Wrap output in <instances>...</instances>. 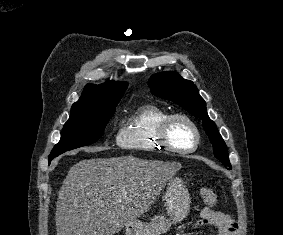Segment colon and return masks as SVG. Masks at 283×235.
Here are the masks:
<instances>
[{"instance_id":"5ec220e1","label":"colon","mask_w":283,"mask_h":235,"mask_svg":"<svg viewBox=\"0 0 283 235\" xmlns=\"http://www.w3.org/2000/svg\"><path fill=\"white\" fill-rule=\"evenodd\" d=\"M200 196L204 203L208 206H214L217 203V196L213 189H211L210 187L201 188Z\"/></svg>"}]
</instances>
